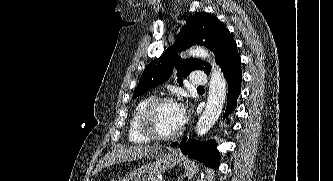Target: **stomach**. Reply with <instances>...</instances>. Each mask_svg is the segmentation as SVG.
I'll return each instance as SVG.
<instances>
[{
    "label": "stomach",
    "mask_w": 333,
    "mask_h": 181,
    "mask_svg": "<svg viewBox=\"0 0 333 181\" xmlns=\"http://www.w3.org/2000/svg\"><path fill=\"white\" fill-rule=\"evenodd\" d=\"M150 158L152 161L130 171L121 181H153L155 177L179 162L177 155L171 152L164 153L161 149L156 150Z\"/></svg>",
    "instance_id": "1"
}]
</instances>
